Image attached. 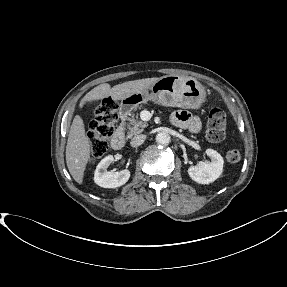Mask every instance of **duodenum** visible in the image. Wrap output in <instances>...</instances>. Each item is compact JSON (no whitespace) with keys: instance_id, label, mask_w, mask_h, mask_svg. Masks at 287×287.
I'll list each match as a JSON object with an SVG mask.
<instances>
[{"instance_id":"obj_1","label":"duodenum","mask_w":287,"mask_h":287,"mask_svg":"<svg viewBox=\"0 0 287 287\" xmlns=\"http://www.w3.org/2000/svg\"><path fill=\"white\" fill-rule=\"evenodd\" d=\"M125 122V114L123 113L121 117V123L123 124ZM111 145L114 149L120 150L125 145V134L124 130L122 128V125L118 127V129L115 131L112 139H111Z\"/></svg>"}]
</instances>
